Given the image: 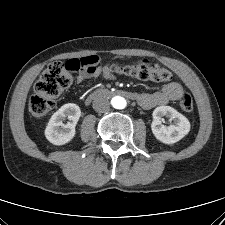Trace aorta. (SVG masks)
<instances>
[{
    "mask_svg": "<svg viewBox=\"0 0 225 225\" xmlns=\"http://www.w3.org/2000/svg\"><path fill=\"white\" fill-rule=\"evenodd\" d=\"M112 106L116 109H124L127 105L125 98L121 96H115L111 100Z\"/></svg>",
    "mask_w": 225,
    "mask_h": 225,
    "instance_id": "obj_1",
    "label": "aorta"
}]
</instances>
